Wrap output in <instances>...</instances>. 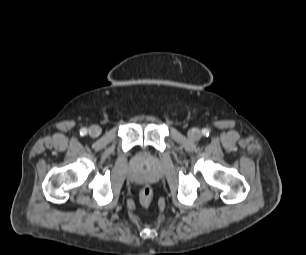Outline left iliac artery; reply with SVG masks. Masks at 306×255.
I'll use <instances>...</instances> for the list:
<instances>
[{"instance_id":"44dca946","label":"left iliac artery","mask_w":306,"mask_h":255,"mask_svg":"<svg viewBox=\"0 0 306 255\" xmlns=\"http://www.w3.org/2000/svg\"><path fill=\"white\" fill-rule=\"evenodd\" d=\"M209 133H210L209 130L206 129V128L202 130V134H203L204 136H208Z\"/></svg>"}]
</instances>
